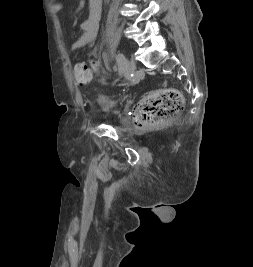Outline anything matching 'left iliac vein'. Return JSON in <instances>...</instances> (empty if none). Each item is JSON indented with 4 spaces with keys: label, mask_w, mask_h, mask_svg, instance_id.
<instances>
[{
    "label": "left iliac vein",
    "mask_w": 253,
    "mask_h": 267,
    "mask_svg": "<svg viewBox=\"0 0 253 267\" xmlns=\"http://www.w3.org/2000/svg\"><path fill=\"white\" fill-rule=\"evenodd\" d=\"M122 55H123L122 53H118L117 57H122ZM124 72H125V77L127 79L135 81V79L133 77L135 76L136 65H135V62L133 60L126 61V67L124 69Z\"/></svg>",
    "instance_id": "4c4485c4"
}]
</instances>
